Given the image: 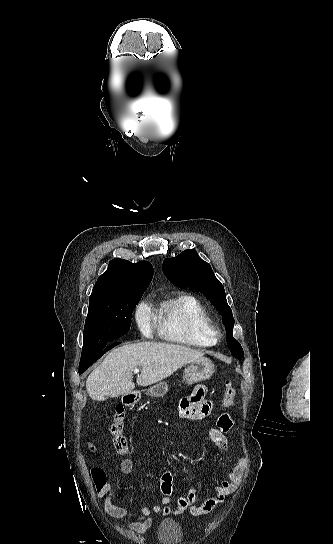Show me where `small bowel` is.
<instances>
[{
    "instance_id": "c3829d8e",
    "label": "small bowel",
    "mask_w": 333,
    "mask_h": 544,
    "mask_svg": "<svg viewBox=\"0 0 333 544\" xmlns=\"http://www.w3.org/2000/svg\"><path fill=\"white\" fill-rule=\"evenodd\" d=\"M213 411V402L208 398L207 387L201 385L195 388L193 393L183 398L178 406L181 417L187 420H201ZM233 421L230 415L222 414L217 421V426L209 429L210 440L220 449L227 450L229 441L226 434L231 430ZM246 462L240 459L237 465L229 472L227 478L221 481L216 487L214 494L203 502L197 504V492L194 488L181 495L172 506L173 481L170 472H164L160 479V488L163 493L160 505L151 508L143 506L140 515H133L124 507L113 503L114 492L109 483H105L98 489V497L103 499L105 511L117 519H132L128 527L136 533H146L153 522L154 514L164 516H179L189 513L193 516L207 515L213 511L224 498L232 493L241 483L245 471ZM133 470V462L125 458L120 463V471L123 475H129Z\"/></svg>"
}]
</instances>
